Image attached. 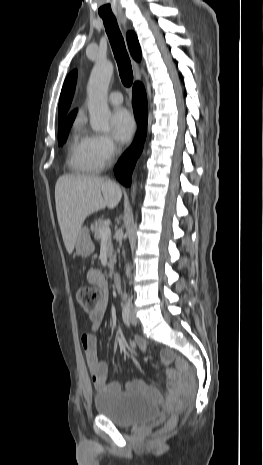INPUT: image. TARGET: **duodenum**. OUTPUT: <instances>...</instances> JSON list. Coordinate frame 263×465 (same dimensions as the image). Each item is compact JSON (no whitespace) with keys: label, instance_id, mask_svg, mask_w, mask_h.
I'll use <instances>...</instances> for the list:
<instances>
[{"label":"duodenum","instance_id":"duodenum-1","mask_svg":"<svg viewBox=\"0 0 263 465\" xmlns=\"http://www.w3.org/2000/svg\"><path fill=\"white\" fill-rule=\"evenodd\" d=\"M113 283L118 292L121 291V277L118 273L113 275Z\"/></svg>","mask_w":263,"mask_h":465}]
</instances>
